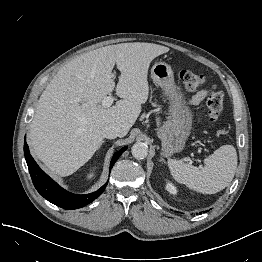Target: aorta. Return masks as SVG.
I'll return each instance as SVG.
<instances>
[{
    "instance_id": "aorta-1",
    "label": "aorta",
    "mask_w": 262,
    "mask_h": 262,
    "mask_svg": "<svg viewBox=\"0 0 262 262\" xmlns=\"http://www.w3.org/2000/svg\"><path fill=\"white\" fill-rule=\"evenodd\" d=\"M131 152L134 158L142 160L148 155V146L145 143L137 142L132 146Z\"/></svg>"
}]
</instances>
